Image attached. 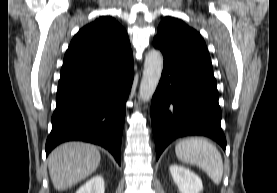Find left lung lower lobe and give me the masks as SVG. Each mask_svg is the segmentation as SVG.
<instances>
[{"label":"left lung lower lobe","mask_w":277,"mask_h":193,"mask_svg":"<svg viewBox=\"0 0 277 193\" xmlns=\"http://www.w3.org/2000/svg\"><path fill=\"white\" fill-rule=\"evenodd\" d=\"M163 67L150 111L156 159L173 140L189 135L210 137L225 150L213 68L165 56Z\"/></svg>","instance_id":"left-lung-lower-lobe-1"}]
</instances>
